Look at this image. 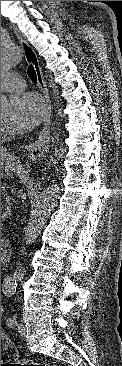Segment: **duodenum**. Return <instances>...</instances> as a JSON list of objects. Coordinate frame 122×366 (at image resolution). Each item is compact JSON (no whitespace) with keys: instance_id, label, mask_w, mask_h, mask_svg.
Segmentation results:
<instances>
[{"instance_id":"410a0bca","label":"duodenum","mask_w":122,"mask_h":366,"mask_svg":"<svg viewBox=\"0 0 122 366\" xmlns=\"http://www.w3.org/2000/svg\"><path fill=\"white\" fill-rule=\"evenodd\" d=\"M10 251V244L6 240H1V253L9 252ZM19 275L15 274V279H18Z\"/></svg>"}]
</instances>
